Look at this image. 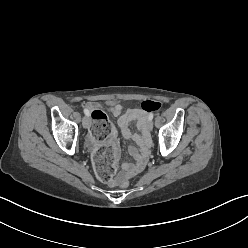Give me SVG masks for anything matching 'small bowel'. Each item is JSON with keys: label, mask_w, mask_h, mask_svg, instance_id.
<instances>
[{"label": "small bowel", "mask_w": 248, "mask_h": 248, "mask_svg": "<svg viewBox=\"0 0 248 248\" xmlns=\"http://www.w3.org/2000/svg\"><path fill=\"white\" fill-rule=\"evenodd\" d=\"M88 111H93L99 109L100 105L98 103L90 102L86 105ZM108 110L114 117L118 118V125L120 127L122 136L129 141H133L138 149L134 146L129 147V152L134 159V162H124L122 164V172L125 176L131 177L136 173L140 172L144 166L147 153L149 141L146 135L147 132V113L141 109H127L123 110L120 104H114L108 102ZM136 123L137 128L141 132L140 134L134 133L130 129L131 123ZM90 144L94 147L95 143L90 140ZM109 144L113 146L115 154H118V148L116 145V140L114 137L110 138Z\"/></svg>", "instance_id": "obj_1"}]
</instances>
